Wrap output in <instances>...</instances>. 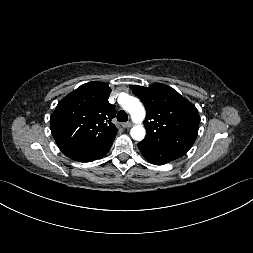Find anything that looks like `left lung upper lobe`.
<instances>
[{
    "instance_id": "1",
    "label": "left lung upper lobe",
    "mask_w": 253,
    "mask_h": 253,
    "mask_svg": "<svg viewBox=\"0 0 253 253\" xmlns=\"http://www.w3.org/2000/svg\"><path fill=\"white\" fill-rule=\"evenodd\" d=\"M130 88L146 108V137L142 142L187 153L198 134L197 108L165 84Z\"/></svg>"
}]
</instances>
